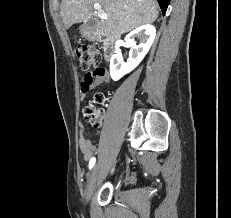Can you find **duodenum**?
<instances>
[{
	"instance_id": "410a0bca",
	"label": "duodenum",
	"mask_w": 231,
	"mask_h": 218,
	"mask_svg": "<svg viewBox=\"0 0 231 218\" xmlns=\"http://www.w3.org/2000/svg\"><path fill=\"white\" fill-rule=\"evenodd\" d=\"M88 37L92 40H101L104 42V54L106 60H110L116 50V37L112 35H104L97 29H91L88 32Z\"/></svg>"
}]
</instances>
